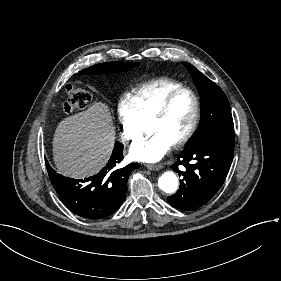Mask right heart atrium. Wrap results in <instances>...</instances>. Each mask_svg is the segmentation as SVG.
I'll list each match as a JSON object with an SVG mask.
<instances>
[{"mask_svg":"<svg viewBox=\"0 0 281 281\" xmlns=\"http://www.w3.org/2000/svg\"><path fill=\"white\" fill-rule=\"evenodd\" d=\"M117 115L122 128V142L132 144L137 141L142 136V122L127 98L118 100Z\"/></svg>","mask_w":281,"mask_h":281,"instance_id":"obj_1","label":"right heart atrium"}]
</instances>
